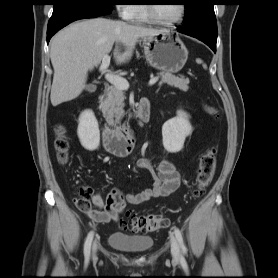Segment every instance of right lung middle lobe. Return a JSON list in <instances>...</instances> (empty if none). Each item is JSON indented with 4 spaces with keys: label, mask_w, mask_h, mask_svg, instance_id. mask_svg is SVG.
I'll return each instance as SVG.
<instances>
[{
    "label": "right lung middle lobe",
    "mask_w": 278,
    "mask_h": 278,
    "mask_svg": "<svg viewBox=\"0 0 278 278\" xmlns=\"http://www.w3.org/2000/svg\"><path fill=\"white\" fill-rule=\"evenodd\" d=\"M53 14L52 18L61 11L70 8H82L103 14L112 12L113 0H52Z\"/></svg>",
    "instance_id": "1"
}]
</instances>
